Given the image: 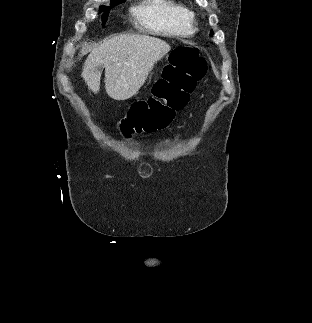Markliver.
Instances as JSON below:
<instances>
[{"mask_svg": "<svg viewBox=\"0 0 312 323\" xmlns=\"http://www.w3.org/2000/svg\"><path fill=\"white\" fill-rule=\"evenodd\" d=\"M171 46L152 36L119 34L106 38L84 62L82 78L89 90L100 92L105 68V90L113 100H129L145 84L154 64L170 52Z\"/></svg>", "mask_w": 312, "mask_h": 323, "instance_id": "6515ba94", "label": "liver"}]
</instances>
